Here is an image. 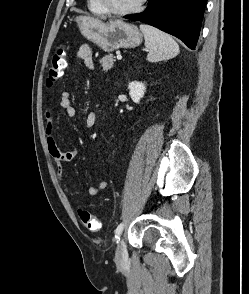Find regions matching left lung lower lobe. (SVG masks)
Returning <instances> with one entry per match:
<instances>
[{"instance_id":"obj_1","label":"left lung lower lobe","mask_w":249,"mask_h":294,"mask_svg":"<svg viewBox=\"0 0 249 294\" xmlns=\"http://www.w3.org/2000/svg\"><path fill=\"white\" fill-rule=\"evenodd\" d=\"M207 0H149L142 13L124 16L161 29L194 50L199 38Z\"/></svg>"}]
</instances>
